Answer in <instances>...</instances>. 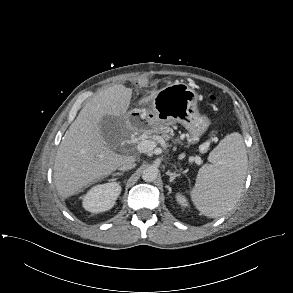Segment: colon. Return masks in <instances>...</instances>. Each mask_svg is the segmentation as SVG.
Segmentation results:
<instances>
[{"label":"colon","mask_w":293,"mask_h":293,"mask_svg":"<svg viewBox=\"0 0 293 293\" xmlns=\"http://www.w3.org/2000/svg\"><path fill=\"white\" fill-rule=\"evenodd\" d=\"M209 100H210L212 103H216V102H218V97L215 96V95H211V96L209 97Z\"/></svg>","instance_id":"1"}]
</instances>
